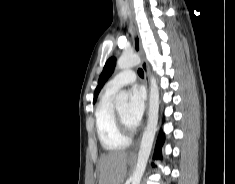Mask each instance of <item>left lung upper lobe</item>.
<instances>
[{"label": "left lung upper lobe", "instance_id": "1", "mask_svg": "<svg viewBox=\"0 0 235 184\" xmlns=\"http://www.w3.org/2000/svg\"><path fill=\"white\" fill-rule=\"evenodd\" d=\"M115 64H116V59L114 57H111L110 59L107 60L105 66L103 68V71H102V73L99 77L98 86H97V88L95 89V92H94V102L97 99L99 91L101 90V88L103 87L105 82L108 80V78L113 73Z\"/></svg>", "mask_w": 235, "mask_h": 184}]
</instances>
